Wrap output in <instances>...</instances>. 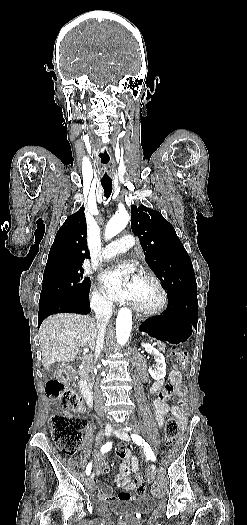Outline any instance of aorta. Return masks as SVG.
Segmentation results:
<instances>
[{
  "instance_id": "1",
  "label": "aorta",
  "mask_w": 247,
  "mask_h": 525,
  "mask_svg": "<svg viewBox=\"0 0 247 525\" xmlns=\"http://www.w3.org/2000/svg\"><path fill=\"white\" fill-rule=\"evenodd\" d=\"M130 220L126 210L117 212L108 222L105 229V238L111 239L121 232ZM132 329V312L128 308H121L116 319V339L121 346L125 345Z\"/></svg>"
}]
</instances>
